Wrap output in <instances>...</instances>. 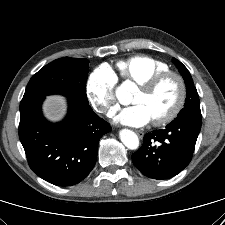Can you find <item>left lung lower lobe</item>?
Listing matches in <instances>:
<instances>
[{"mask_svg":"<svg viewBox=\"0 0 225 225\" xmlns=\"http://www.w3.org/2000/svg\"><path fill=\"white\" fill-rule=\"evenodd\" d=\"M201 129V115L173 120L165 129L144 136L142 147L132 154L133 164L147 177L168 179L191 161Z\"/></svg>","mask_w":225,"mask_h":225,"instance_id":"0a47b994","label":"left lung lower lobe"}]
</instances>
